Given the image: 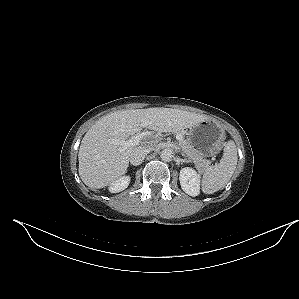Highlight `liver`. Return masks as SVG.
<instances>
[{"instance_id":"6515ba94","label":"liver","mask_w":299,"mask_h":299,"mask_svg":"<svg viewBox=\"0 0 299 299\" xmlns=\"http://www.w3.org/2000/svg\"><path fill=\"white\" fill-rule=\"evenodd\" d=\"M207 116L179 109L147 108L117 111L100 118L85 134L78 153L79 176L90 188L110 185L127 171L134 146L119 152L109 139L126 140L147 127L158 132L180 131Z\"/></svg>"}]
</instances>
